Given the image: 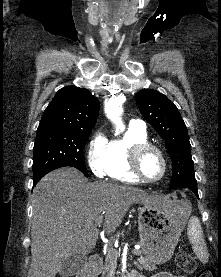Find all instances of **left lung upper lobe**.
<instances>
[{"instance_id": "1", "label": "left lung upper lobe", "mask_w": 221, "mask_h": 277, "mask_svg": "<svg viewBox=\"0 0 221 277\" xmlns=\"http://www.w3.org/2000/svg\"><path fill=\"white\" fill-rule=\"evenodd\" d=\"M145 119L165 140L172 159L170 188L196 186L187 128L177 107L162 93L143 89L135 96Z\"/></svg>"}]
</instances>
